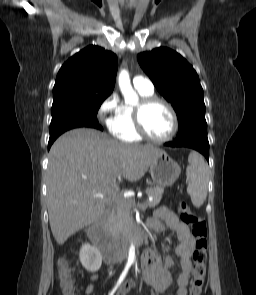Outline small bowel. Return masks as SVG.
I'll return each mask as SVG.
<instances>
[{"label": "small bowel", "mask_w": 256, "mask_h": 295, "mask_svg": "<svg viewBox=\"0 0 256 295\" xmlns=\"http://www.w3.org/2000/svg\"><path fill=\"white\" fill-rule=\"evenodd\" d=\"M148 228L156 233L163 232L165 228H170L177 234L179 244L176 248V254L180 258V263L176 280L178 288L175 295H187L189 274L192 268L191 256L195 244V238L190 229L166 207H160L155 211L154 216L148 221ZM175 266L176 262L172 257L167 256L162 261L157 250L147 249L142 257L144 282L156 295L167 291L173 284L171 269ZM97 279L98 275L92 276V282L86 290V295L93 293ZM135 286V281L128 282L120 289L118 295H128Z\"/></svg>", "instance_id": "1"}]
</instances>
